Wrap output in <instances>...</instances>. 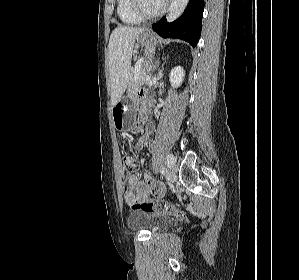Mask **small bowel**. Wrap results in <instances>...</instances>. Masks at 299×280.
<instances>
[{"instance_id": "small-bowel-1", "label": "small bowel", "mask_w": 299, "mask_h": 280, "mask_svg": "<svg viewBox=\"0 0 299 280\" xmlns=\"http://www.w3.org/2000/svg\"><path fill=\"white\" fill-rule=\"evenodd\" d=\"M146 122V114L139 108V116L135 130H140ZM154 130L153 123L145 125L144 133L136 144L138 150L149 145V138ZM151 148V146H150ZM126 180V188L123 193L124 201L127 205L133 206L137 203L147 201L150 194L162 196L165 193V187L162 183L152 179L148 174L139 177L136 174L129 175Z\"/></svg>"}]
</instances>
